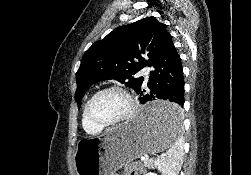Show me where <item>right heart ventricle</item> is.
Masks as SVG:
<instances>
[{"mask_svg":"<svg viewBox=\"0 0 251 175\" xmlns=\"http://www.w3.org/2000/svg\"><path fill=\"white\" fill-rule=\"evenodd\" d=\"M88 102V101H87ZM87 102L85 103V106H84V109H83V113H82V127L84 129V131L90 135H99L103 129L92 124L87 116H86V105H87Z\"/></svg>","mask_w":251,"mask_h":175,"instance_id":"right-heart-ventricle-1","label":"right heart ventricle"}]
</instances>
